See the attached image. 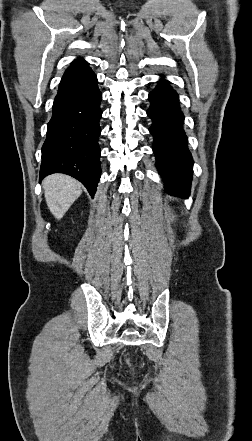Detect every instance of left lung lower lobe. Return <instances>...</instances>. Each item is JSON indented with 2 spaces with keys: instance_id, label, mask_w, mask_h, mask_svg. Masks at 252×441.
<instances>
[{
  "instance_id": "obj_1",
  "label": "left lung lower lobe",
  "mask_w": 252,
  "mask_h": 441,
  "mask_svg": "<svg viewBox=\"0 0 252 441\" xmlns=\"http://www.w3.org/2000/svg\"><path fill=\"white\" fill-rule=\"evenodd\" d=\"M148 99L151 104L147 115L153 122L149 131L154 137L156 167L165 182V190L169 194L188 196L193 162L179 96L167 80L160 79Z\"/></svg>"
}]
</instances>
